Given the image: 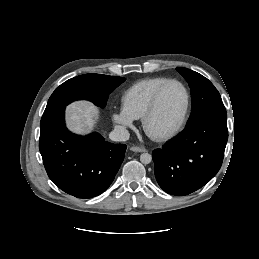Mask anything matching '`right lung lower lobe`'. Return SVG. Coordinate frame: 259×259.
<instances>
[{
	"instance_id": "right-lung-lower-lobe-1",
	"label": "right lung lower lobe",
	"mask_w": 259,
	"mask_h": 259,
	"mask_svg": "<svg viewBox=\"0 0 259 259\" xmlns=\"http://www.w3.org/2000/svg\"><path fill=\"white\" fill-rule=\"evenodd\" d=\"M65 107L43 114L39 150L49 178L64 192L92 198L112 183L126 145L106 142L98 133L79 136L65 126Z\"/></svg>"
}]
</instances>
